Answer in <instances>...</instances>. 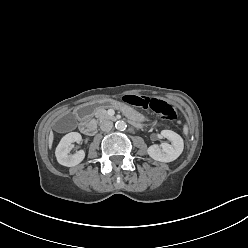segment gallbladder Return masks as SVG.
<instances>
[{
	"mask_svg": "<svg viewBox=\"0 0 248 248\" xmlns=\"http://www.w3.org/2000/svg\"><path fill=\"white\" fill-rule=\"evenodd\" d=\"M75 122H76V119L74 117L71 118L69 126L66 127V121L62 120V121L58 122L56 129L58 131L70 129V128L74 127Z\"/></svg>",
	"mask_w": 248,
	"mask_h": 248,
	"instance_id": "gallbladder-1",
	"label": "gallbladder"
}]
</instances>
